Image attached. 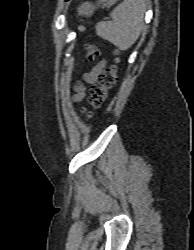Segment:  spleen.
<instances>
[{
    "label": "spleen",
    "mask_w": 194,
    "mask_h": 250,
    "mask_svg": "<svg viewBox=\"0 0 194 250\" xmlns=\"http://www.w3.org/2000/svg\"><path fill=\"white\" fill-rule=\"evenodd\" d=\"M145 10V0H123L110 13L112 21L97 23L96 34L116 47L126 50L140 36Z\"/></svg>",
    "instance_id": "spleen-1"
}]
</instances>
